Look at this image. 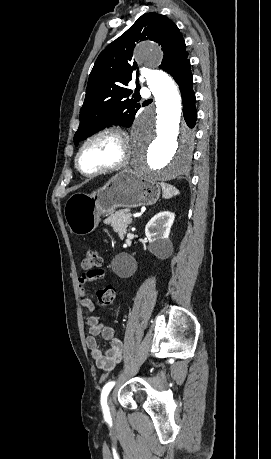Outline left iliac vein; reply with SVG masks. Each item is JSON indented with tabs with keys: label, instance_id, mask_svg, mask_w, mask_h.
I'll return each mask as SVG.
<instances>
[{
	"label": "left iliac vein",
	"instance_id": "1",
	"mask_svg": "<svg viewBox=\"0 0 271 459\" xmlns=\"http://www.w3.org/2000/svg\"><path fill=\"white\" fill-rule=\"evenodd\" d=\"M107 405H108L109 412L112 414L113 411H114L112 396H109V397L107 398Z\"/></svg>",
	"mask_w": 271,
	"mask_h": 459
}]
</instances>
